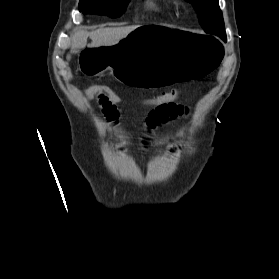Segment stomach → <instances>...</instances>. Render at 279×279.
Instances as JSON below:
<instances>
[{"instance_id":"obj_1","label":"stomach","mask_w":279,"mask_h":279,"mask_svg":"<svg viewBox=\"0 0 279 279\" xmlns=\"http://www.w3.org/2000/svg\"><path fill=\"white\" fill-rule=\"evenodd\" d=\"M224 47L175 25H135L116 44L101 46L105 50H80L77 69L92 81L116 75L134 91H166L181 82H212L222 71Z\"/></svg>"}]
</instances>
